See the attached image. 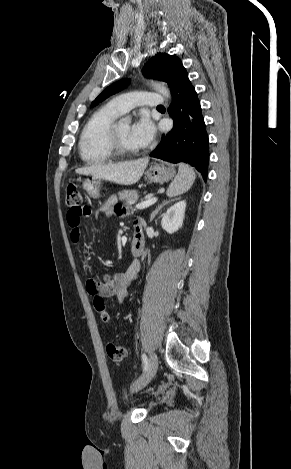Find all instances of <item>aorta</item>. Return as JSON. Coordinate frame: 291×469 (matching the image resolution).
<instances>
[{"mask_svg": "<svg viewBox=\"0 0 291 469\" xmlns=\"http://www.w3.org/2000/svg\"><path fill=\"white\" fill-rule=\"evenodd\" d=\"M151 85L156 91H158L164 97H166V98L170 97V91L164 84L152 82ZM122 122L125 123V124H130L131 117L130 116L124 117L122 119Z\"/></svg>", "mask_w": 291, "mask_h": 469, "instance_id": "obj_1", "label": "aorta"}]
</instances>
